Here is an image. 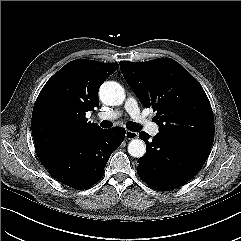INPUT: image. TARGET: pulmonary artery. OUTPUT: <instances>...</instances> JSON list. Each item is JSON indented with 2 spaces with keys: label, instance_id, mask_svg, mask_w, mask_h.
<instances>
[{
  "label": "pulmonary artery",
  "instance_id": "obj_1",
  "mask_svg": "<svg viewBox=\"0 0 241 241\" xmlns=\"http://www.w3.org/2000/svg\"><path fill=\"white\" fill-rule=\"evenodd\" d=\"M125 111L134 119L139 126L144 128L151 135L159 132V126L148 120L142 113L134 97H128L124 104ZM121 115L120 111L104 112L99 115L101 119H116Z\"/></svg>",
  "mask_w": 241,
  "mask_h": 241
}]
</instances>
